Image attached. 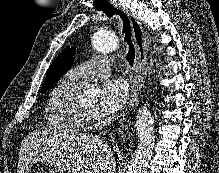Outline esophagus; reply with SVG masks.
<instances>
[{"instance_id": "34e87169", "label": "esophagus", "mask_w": 219, "mask_h": 173, "mask_svg": "<svg viewBox=\"0 0 219 173\" xmlns=\"http://www.w3.org/2000/svg\"><path fill=\"white\" fill-rule=\"evenodd\" d=\"M114 6L123 11L130 20L132 34L135 42L137 60H136V75L132 81L130 97L127 102L126 113L121 119L120 127L123 128V121L125 120V115L134 109L137 103L138 91L142 84L143 76L142 69L146 64L147 53H148V34L145 32L143 26L136 18V16L131 13V11L120 3H115Z\"/></svg>"}]
</instances>
